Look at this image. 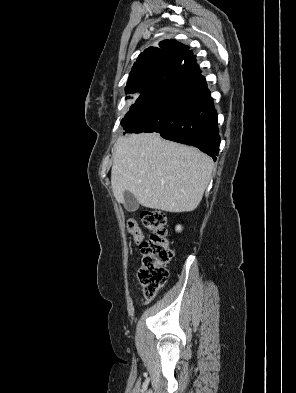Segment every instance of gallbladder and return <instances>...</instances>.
<instances>
[{"label": "gallbladder", "instance_id": "gallbladder-1", "mask_svg": "<svg viewBox=\"0 0 296 393\" xmlns=\"http://www.w3.org/2000/svg\"><path fill=\"white\" fill-rule=\"evenodd\" d=\"M124 206L130 212H134L139 208V203L137 199L129 191L124 192Z\"/></svg>", "mask_w": 296, "mask_h": 393}]
</instances>
